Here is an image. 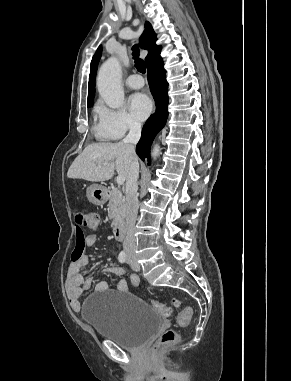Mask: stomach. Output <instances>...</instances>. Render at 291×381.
I'll return each mask as SVG.
<instances>
[{
  "instance_id": "0dacf381",
  "label": "stomach",
  "mask_w": 291,
  "mask_h": 381,
  "mask_svg": "<svg viewBox=\"0 0 291 381\" xmlns=\"http://www.w3.org/2000/svg\"><path fill=\"white\" fill-rule=\"evenodd\" d=\"M87 198L95 205H102L106 202L107 196L105 190L100 185H90L87 188Z\"/></svg>"
}]
</instances>
